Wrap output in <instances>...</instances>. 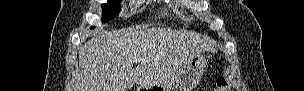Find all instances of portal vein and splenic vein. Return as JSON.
<instances>
[{"label":"portal vein and splenic vein","instance_id":"18ae733b","mask_svg":"<svg viewBox=\"0 0 304 91\" xmlns=\"http://www.w3.org/2000/svg\"><path fill=\"white\" fill-rule=\"evenodd\" d=\"M134 62H141V61H144L141 57H135L133 59Z\"/></svg>","mask_w":304,"mask_h":91}]
</instances>
